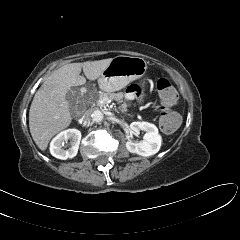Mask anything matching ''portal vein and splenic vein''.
Here are the masks:
<instances>
[{"label": "portal vein and splenic vein", "mask_w": 240, "mask_h": 240, "mask_svg": "<svg viewBox=\"0 0 240 240\" xmlns=\"http://www.w3.org/2000/svg\"><path fill=\"white\" fill-rule=\"evenodd\" d=\"M110 102H111V99H108V98H102L99 100L100 104H106V103H110Z\"/></svg>", "instance_id": "18ae733b"}]
</instances>
